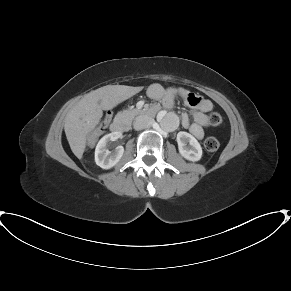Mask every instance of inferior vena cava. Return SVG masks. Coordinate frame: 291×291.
Masks as SVG:
<instances>
[{"instance_id":"inferior-vena-cava-1","label":"inferior vena cava","mask_w":291,"mask_h":291,"mask_svg":"<svg viewBox=\"0 0 291 291\" xmlns=\"http://www.w3.org/2000/svg\"><path fill=\"white\" fill-rule=\"evenodd\" d=\"M153 123V119L147 115H140L136 117L133 122V127L135 130H142L148 128Z\"/></svg>"}]
</instances>
